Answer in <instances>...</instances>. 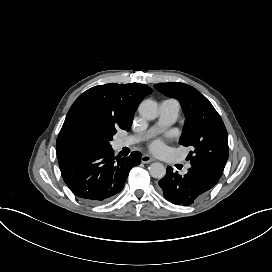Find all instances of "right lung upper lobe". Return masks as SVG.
<instances>
[{
  "label": "right lung upper lobe",
  "mask_w": 272,
  "mask_h": 272,
  "mask_svg": "<svg viewBox=\"0 0 272 272\" xmlns=\"http://www.w3.org/2000/svg\"><path fill=\"white\" fill-rule=\"evenodd\" d=\"M150 93V87L138 83H110L85 91L66 116L56 142L57 157L90 150L119 128L129 131L139 103Z\"/></svg>",
  "instance_id": "cb5924a9"
}]
</instances>
